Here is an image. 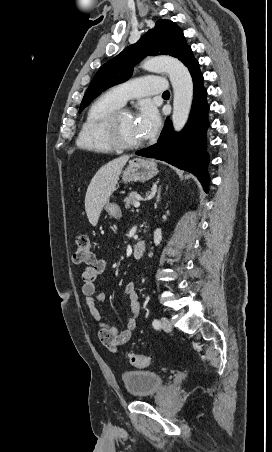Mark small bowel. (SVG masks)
I'll return each instance as SVG.
<instances>
[{"mask_svg": "<svg viewBox=\"0 0 272 452\" xmlns=\"http://www.w3.org/2000/svg\"><path fill=\"white\" fill-rule=\"evenodd\" d=\"M107 261L97 259L91 265L86 266L81 274L82 293L85 296L86 305L91 317L97 324L98 338L107 348H115L126 344L134 330L138 326L140 316V304L138 300V291L136 283L131 281L124 288V295L128 301L130 318L124 330L119 331L113 325L104 322L97 308V303L105 300V294L96 291V280L106 271Z\"/></svg>", "mask_w": 272, "mask_h": 452, "instance_id": "1", "label": "small bowel"}]
</instances>
